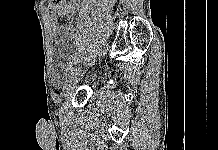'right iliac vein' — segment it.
Instances as JSON below:
<instances>
[{"label": "right iliac vein", "instance_id": "obj_1", "mask_svg": "<svg viewBox=\"0 0 218 150\" xmlns=\"http://www.w3.org/2000/svg\"><path fill=\"white\" fill-rule=\"evenodd\" d=\"M77 62H81V66H79V67H77V68L74 69V72H73L74 75H77V74L80 72L82 65H85V64H86L85 61L82 62V61H79V59H77V60L75 61V63H77ZM67 92H68V87L65 86V87L63 88V93L66 94Z\"/></svg>", "mask_w": 218, "mask_h": 150}]
</instances>
